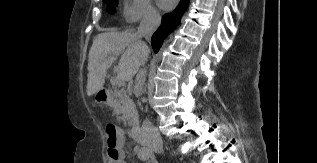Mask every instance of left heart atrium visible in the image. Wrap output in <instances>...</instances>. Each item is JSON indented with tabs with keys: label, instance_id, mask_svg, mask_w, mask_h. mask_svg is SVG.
Listing matches in <instances>:
<instances>
[{
	"label": "left heart atrium",
	"instance_id": "obj_1",
	"mask_svg": "<svg viewBox=\"0 0 317 163\" xmlns=\"http://www.w3.org/2000/svg\"><path fill=\"white\" fill-rule=\"evenodd\" d=\"M176 2L177 0H158L160 7L166 10L171 9Z\"/></svg>",
	"mask_w": 317,
	"mask_h": 163
}]
</instances>
